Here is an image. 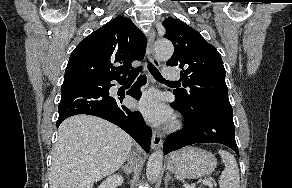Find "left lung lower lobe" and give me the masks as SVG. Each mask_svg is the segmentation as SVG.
Masks as SVG:
<instances>
[{"label":"left lung lower lobe","mask_w":292,"mask_h":188,"mask_svg":"<svg viewBox=\"0 0 292 188\" xmlns=\"http://www.w3.org/2000/svg\"><path fill=\"white\" fill-rule=\"evenodd\" d=\"M171 106L182 113L185 125L165 140L164 154L195 143H220L239 154L231 105L187 109L175 101Z\"/></svg>","instance_id":"left-lung-lower-lobe-1"}]
</instances>
